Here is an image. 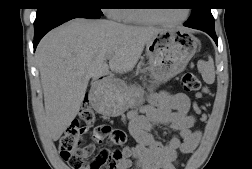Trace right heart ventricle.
I'll return each mask as SVG.
<instances>
[{"mask_svg":"<svg viewBox=\"0 0 252 169\" xmlns=\"http://www.w3.org/2000/svg\"><path fill=\"white\" fill-rule=\"evenodd\" d=\"M120 20L128 24H145L148 23L145 21L138 13L137 9L125 8L120 12Z\"/></svg>","mask_w":252,"mask_h":169,"instance_id":"1","label":"right heart ventricle"}]
</instances>
